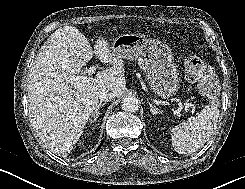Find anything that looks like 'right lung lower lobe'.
I'll list each match as a JSON object with an SVG mask.
<instances>
[{"label":"right lung lower lobe","mask_w":245,"mask_h":189,"mask_svg":"<svg viewBox=\"0 0 245 189\" xmlns=\"http://www.w3.org/2000/svg\"><path fill=\"white\" fill-rule=\"evenodd\" d=\"M102 144H103V142L99 145V147H98V149L96 151H98L101 148Z\"/></svg>","instance_id":"obj_1"}]
</instances>
